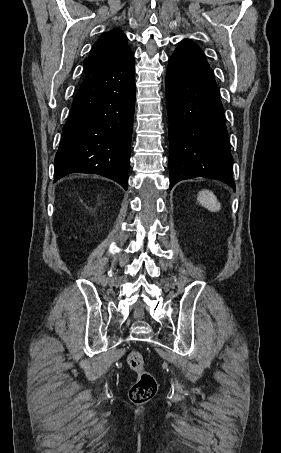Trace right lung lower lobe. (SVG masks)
<instances>
[{
    "mask_svg": "<svg viewBox=\"0 0 281 453\" xmlns=\"http://www.w3.org/2000/svg\"><path fill=\"white\" fill-rule=\"evenodd\" d=\"M135 108L133 53L84 78L63 127L54 182L79 172L99 174L128 186Z\"/></svg>",
    "mask_w": 281,
    "mask_h": 453,
    "instance_id": "obj_1",
    "label": "right lung lower lobe"
}]
</instances>
